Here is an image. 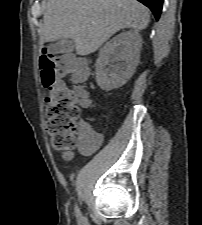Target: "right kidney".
I'll use <instances>...</instances> for the list:
<instances>
[{"label":"right kidney","instance_id":"obj_1","mask_svg":"<svg viewBox=\"0 0 202 225\" xmlns=\"http://www.w3.org/2000/svg\"><path fill=\"white\" fill-rule=\"evenodd\" d=\"M142 38L138 31L122 32L99 51L95 64L98 86L110 91L126 84L139 63Z\"/></svg>","mask_w":202,"mask_h":225}]
</instances>
